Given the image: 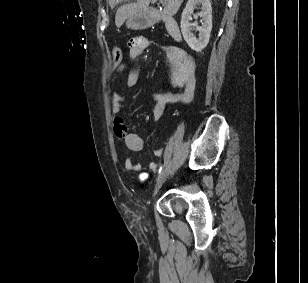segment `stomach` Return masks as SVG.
Wrapping results in <instances>:
<instances>
[{
	"label": "stomach",
	"mask_w": 308,
	"mask_h": 283,
	"mask_svg": "<svg viewBox=\"0 0 308 283\" xmlns=\"http://www.w3.org/2000/svg\"><path fill=\"white\" fill-rule=\"evenodd\" d=\"M152 21L147 13H137L127 18L126 26L129 29L141 30L149 27Z\"/></svg>",
	"instance_id": "obj_1"
}]
</instances>
